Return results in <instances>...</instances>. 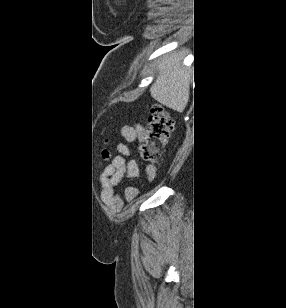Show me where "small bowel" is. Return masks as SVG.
<instances>
[{"label": "small bowel", "mask_w": 286, "mask_h": 308, "mask_svg": "<svg viewBox=\"0 0 286 308\" xmlns=\"http://www.w3.org/2000/svg\"><path fill=\"white\" fill-rule=\"evenodd\" d=\"M123 142L117 145L119 154L113 160L110 166V183L113 187L117 186L125 178H137L140 175V168L136 161L129 160V150L127 143L138 140L143 133V129L139 124L126 125L122 128ZM145 174L148 179L155 177V169L147 166ZM136 195L135 188H129L125 192V199L130 200Z\"/></svg>", "instance_id": "obj_1"}]
</instances>
